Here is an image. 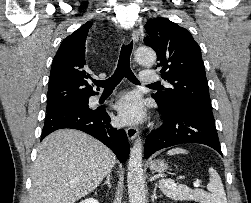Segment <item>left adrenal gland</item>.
<instances>
[{
  "mask_svg": "<svg viewBox=\"0 0 251 203\" xmlns=\"http://www.w3.org/2000/svg\"><path fill=\"white\" fill-rule=\"evenodd\" d=\"M156 190H157V184H155V188H154L153 194H152V196H151V200H152V201H153L154 199H157V198H158V196H157V194H156Z\"/></svg>",
  "mask_w": 251,
  "mask_h": 203,
  "instance_id": "obj_1",
  "label": "left adrenal gland"
}]
</instances>
